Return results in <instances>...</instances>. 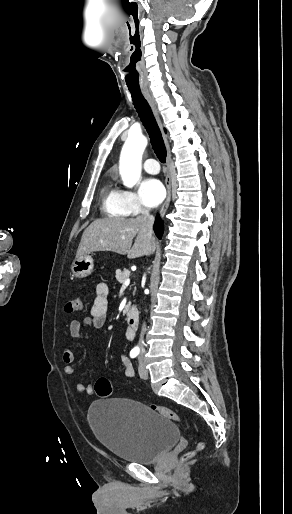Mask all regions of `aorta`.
<instances>
[{
  "mask_svg": "<svg viewBox=\"0 0 292 514\" xmlns=\"http://www.w3.org/2000/svg\"><path fill=\"white\" fill-rule=\"evenodd\" d=\"M147 146L144 136L129 134L121 152L120 176L124 186L133 188L141 176V158Z\"/></svg>",
  "mask_w": 292,
  "mask_h": 514,
  "instance_id": "762f6f07",
  "label": "aorta"
}]
</instances>
